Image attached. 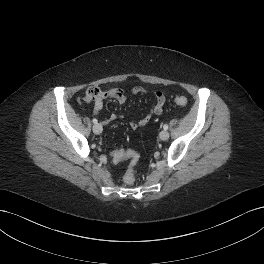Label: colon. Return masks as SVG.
Instances as JSON below:
<instances>
[{
    "label": "colon",
    "instance_id": "5ec220e1",
    "mask_svg": "<svg viewBox=\"0 0 264 264\" xmlns=\"http://www.w3.org/2000/svg\"><path fill=\"white\" fill-rule=\"evenodd\" d=\"M101 95H102L101 90L96 87H91L86 91V99L89 101H94L98 99ZM175 102L180 106H185L187 105L188 100L185 96H176ZM118 157L129 160V167L124 176V182L127 185L133 184L135 181V174H134L135 166L139 161V154L135 150L128 149V150H122L118 154Z\"/></svg>",
    "mask_w": 264,
    "mask_h": 264
}]
</instances>
